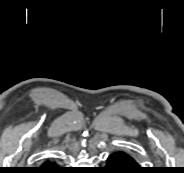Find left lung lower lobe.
Instances as JSON below:
<instances>
[{
  "mask_svg": "<svg viewBox=\"0 0 184 173\" xmlns=\"http://www.w3.org/2000/svg\"><path fill=\"white\" fill-rule=\"evenodd\" d=\"M109 173H144L136 160L125 151H116L109 155L107 168Z\"/></svg>",
  "mask_w": 184,
  "mask_h": 173,
  "instance_id": "1",
  "label": "left lung lower lobe"
}]
</instances>
